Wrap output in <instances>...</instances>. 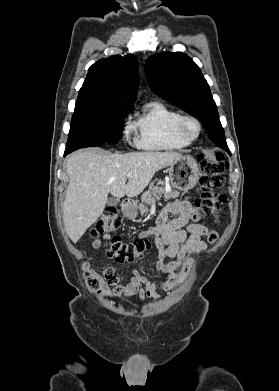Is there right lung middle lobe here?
Returning <instances> with one entry per match:
<instances>
[{
    "instance_id": "right-lung-middle-lobe-1",
    "label": "right lung middle lobe",
    "mask_w": 279,
    "mask_h": 391,
    "mask_svg": "<svg viewBox=\"0 0 279 391\" xmlns=\"http://www.w3.org/2000/svg\"><path fill=\"white\" fill-rule=\"evenodd\" d=\"M131 108L91 109L74 112L65 152L82 147L116 144L123 132L122 122Z\"/></svg>"
}]
</instances>
